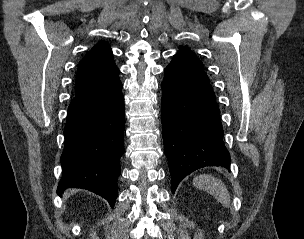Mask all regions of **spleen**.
Returning a JSON list of instances; mask_svg holds the SVG:
<instances>
[{
	"mask_svg": "<svg viewBox=\"0 0 304 239\" xmlns=\"http://www.w3.org/2000/svg\"><path fill=\"white\" fill-rule=\"evenodd\" d=\"M193 184L211 194L224 207H230V194L221 180L208 174H202L193 179Z\"/></svg>",
	"mask_w": 304,
	"mask_h": 239,
	"instance_id": "obj_1",
	"label": "spleen"
}]
</instances>
